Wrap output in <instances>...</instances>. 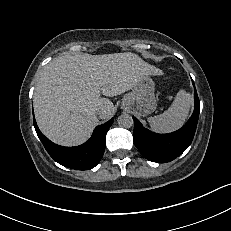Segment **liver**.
<instances>
[{
    "label": "liver",
    "mask_w": 231,
    "mask_h": 231,
    "mask_svg": "<svg viewBox=\"0 0 231 231\" xmlns=\"http://www.w3.org/2000/svg\"><path fill=\"white\" fill-rule=\"evenodd\" d=\"M147 75L163 72L131 52L61 55L49 62L36 83L33 105L40 130L63 146L84 143L114 113L106 97L120 95ZM103 112L98 114L97 111ZM99 115V118H98Z\"/></svg>",
    "instance_id": "liver-1"
}]
</instances>
